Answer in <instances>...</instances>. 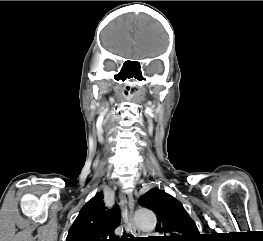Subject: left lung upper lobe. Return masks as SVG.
I'll list each match as a JSON object with an SVG mask.
<instances>
[{
	"mask_svg": "<svg viewBox=\"0 0 263 241\" xmlns=\"http://www.w3.org/2000/svg\"><path fill=\"white\" fill-rule=\"evenodd\" d=\"M139 202L157 215L156 231L164 236L152 238L154 241H201L202 235L195 222L183 205L170 194L153 188L144 194Z\"/></svg>",
	"mask_w": 263,
	"mask_h": 241,
	"instance_id": "1",
	"label": "left lung upper lobe"
}]
</instances>
